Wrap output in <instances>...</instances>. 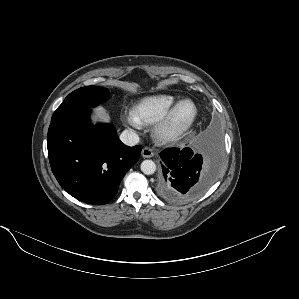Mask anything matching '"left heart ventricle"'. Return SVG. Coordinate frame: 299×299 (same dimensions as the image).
Instances as JSON below:
<instances>
[{
	"mask_svg": "<svg viewBox=\"0 0 299 299\" xmlns=\"http://www.w3.org/2000/svg\"><path fill=\"white\" fill-rule=\"evenodd\" d=\"M193 108L191 105L182 106L176 113L174 123L177 126L184 125L191 117Z\"/></svg>",
	"mask_w": 299,
	"mask_h": 299,
	"instance_id": "1",
	"label": "left heart ventricle"
}]
</instances>
